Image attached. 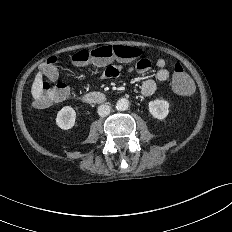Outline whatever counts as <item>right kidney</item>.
I'll use <instances>...</instances> for the list:
<instances>
[{
    "label": "right kidney",
    "instance_id": "right-kidney-1",
    "mask_svg": "<svg viewBox=\"0 0 232 232\" xmlns=\"http://www.w3.org/2000/svg\"><path fill=\"white\" fill-rule=\"evenodd\" d=\"M76 112L70 106L63 107L58 113L56 118L57 125L63 129H71L75 125Z\"/></svg>",
    "mask_w": 232,
    "mask_h": 232
}]
</instances>
